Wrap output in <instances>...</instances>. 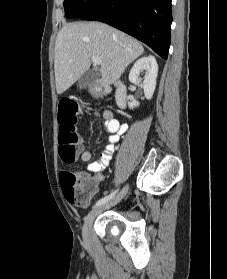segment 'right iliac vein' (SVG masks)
<instances>
[{
    "label": "right iliac vein",
    "instance_id": "obj_1",
    "mask_svg": "<svg viewBox=\"0 0 227 279\" xmlns=\"http://www.w3.org/2000/svg\"><path fill=\"white\" fill-rule=\"evenodd\" d=\"M128 190H129V185H126L114 199H112L111 201H109L103 205L95 207L94 209H92L89 212V214L85 218L84 225H83V231H82V235H83V239H84L85 243L88 244L91 240V228H92V224H93L95 218L103 210L110 208V207L116 205L117 203H119L125 197Z\"/></svg>",
    "mask_w": 227,
    "mask_h": 279
}]
</instances>
